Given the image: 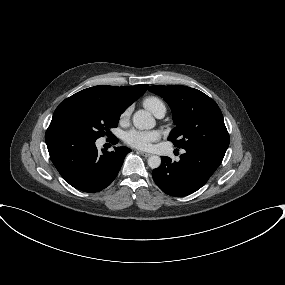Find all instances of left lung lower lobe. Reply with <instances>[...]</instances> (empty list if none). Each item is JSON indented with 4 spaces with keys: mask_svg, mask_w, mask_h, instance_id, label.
Listing matches in <instances>:
<instances>
[{
    "mask_svg": "<svg viewBox=\"0 0 285 285\" xmlns=\"http://www.w3.org/2000/svg\"><path fill=\"white\" fill-rule=\"evenodd\" d=\"M224 150L206 147H190L178 162L161 157V165L154 169L152 177L166 194L181 197L200 189L221 164Z\"/></svg>",
    "mask_w": 285,
    "mask_h": 285,
    "instance_id": "1",
    "label": "left lung lower lobe"
}]
</instances>
